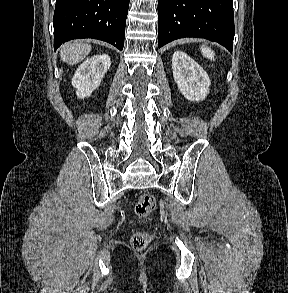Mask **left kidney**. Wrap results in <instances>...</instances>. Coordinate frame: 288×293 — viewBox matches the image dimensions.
Listing matches in <instances>:
<instances>
[{
	"label": "left kidney",
	"mask_w": 288,
	"mask_h": 293,
	"mask_svg": "<svg viewBox=\"0 0 288 293\" xmlns=\"http://www.w3.org/2000/svg\"><path fill=\"white\" fill-rule=\"evenodd\" d=\"M174 81L190 101H202L209 92L210 79L204 69L186 53L176 51L172 57Z\"/></svg>",
	"instance_id": "left-kidney-1"
}]
</instances>
